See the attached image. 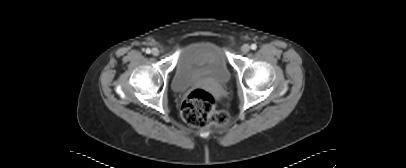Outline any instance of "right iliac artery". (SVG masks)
<instances>
[{
  "mask_svg": "<svg viewBox=\"0 0 406 168\" xmlns=\"http://www.w3.org/2000/svg\"><path fill=\"white\" fill-rule=\"evenodd\" d=\"M146 53H147V54H150V53H151V50H150L149 48H147V49H146Z\"/></svg>",
  "mask_w": 406,
  "mask_h": 168,
  "instance_id": "right-iliac-artery-1",
  "label": "right iliac artery"
}]
</instances>
